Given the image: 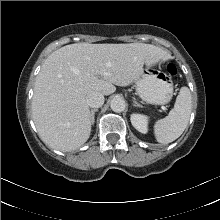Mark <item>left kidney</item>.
I'll return each mask as SVG.
<instances>
[{
  "instance_id": "1",
  "label": "left kidney",
  "mask_w": 220,
  "mask_h": 220,
  "mask_svg": "<svg viewBox=\"0 0 220 220\" xmlns=\"http://www.w3.org/2000/svg\"><path fill=\"white\" fill-rule=\"evenodd\" d=\"M133 127L141 133L148 132L149 118L143 114H132L130 117Z\"/></svg>"
}]
</instances>
